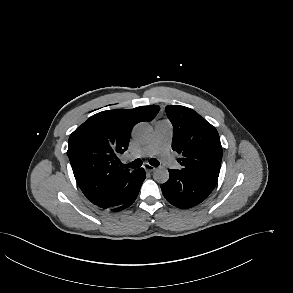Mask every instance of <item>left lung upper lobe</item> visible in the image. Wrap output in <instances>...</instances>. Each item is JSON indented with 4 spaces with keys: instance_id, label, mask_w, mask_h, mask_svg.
Wrapping results in <instances>:
<instances>
[{
    "instance_id": "left-lung-upper-lobe-1",
    "label": "left lung upper lobe",
    "mask_w": 293,
    "mask_h": 293,
    "mask_svg": "<svg viewBox=\"0 0 293 293\" xmlns=\"http://www.w3.org/2000/svg\"><path fill=\"white\" fill-rule=\"evenodd\" d=\"M165 110L173 125L172 149L183 155L181 171L217 181L222 146L215 127L190 108L169 105Z\"/></svg>"
}]
</instances>
